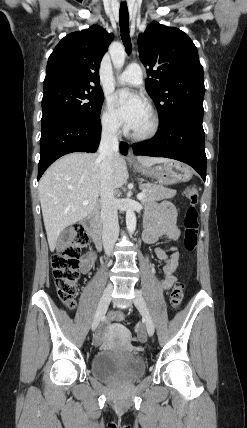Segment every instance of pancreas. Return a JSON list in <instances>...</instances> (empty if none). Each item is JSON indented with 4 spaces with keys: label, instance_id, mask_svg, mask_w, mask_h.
Masks as SVG:
<instances>
[{
    "label": "pancreas",
    "instance_id": "obj_1",
    "mask_svg": "<svg viewBox=\"0 0 247 428\" xmlns=\"http://www.w3.org/2000/svg\"><path fill=\"white\" fill-rule=\"evenodd\" d=\"M139 188L144 193V198L141 200V203L145 206L153 201L171 199L176 195L175 190L151 183L141 184Z\"/></svg>",
    "mask_w": 247,
    "mask_h": 428
}]
</instances>
